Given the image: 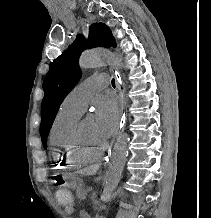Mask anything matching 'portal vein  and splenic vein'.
<instances>
[{
    "label": "portal vein and splenic vein",
    "mask_w": 211,
    "mask_h": 218,
    "mask_svg": "<svg viewBox=\"0 0 211 218\" xmlns=\"http://www.w3.org/2000/svg\"><path fill=\"white\" fill-rule=\"evenodd\" d=\"M92 188H93L92 186L91 187L89 186L88 188H85V191H91Z\"/></svg>",
    "instance_id": "portal-vein-and-splenic-vein-1"
}]
</instances>
